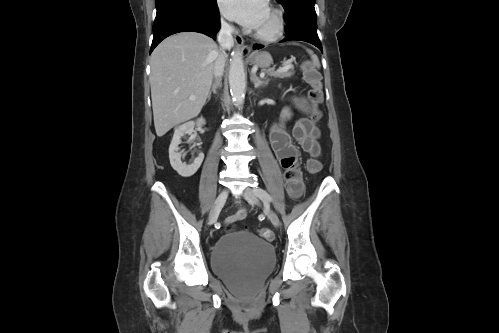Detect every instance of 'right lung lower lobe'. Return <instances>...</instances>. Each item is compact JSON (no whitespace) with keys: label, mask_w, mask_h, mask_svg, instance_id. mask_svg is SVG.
Segmentation results:
<instances>
[{"label":"right lung lower lobe","mask_w":499,"mask_h":333,"mask_svg":"<svg viewBox=\"0 0 499 333\" xmlns=\"http://www.w3.org/2000/svg\"><path fill=\"white\" fill-rule=\"evenodd\" d=\"M219 29L220 20L216 0H211L204 7H195L185 3L163 6L157 9L150 53L163 39L172 34L193 31L216 39Z\"/></svg>","instance_id":"98d812e1"}]
</instances>
